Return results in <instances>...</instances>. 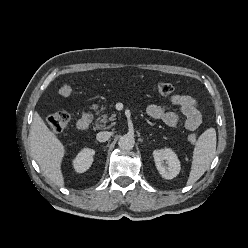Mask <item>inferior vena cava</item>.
<instances>
[{"label":"inferior vena cava","mask_w":248,"mask_h":248,"mask_svg":"<svg viewBox=\"0 0 248 248\" xmlns=\"http://www.w3.org/2000/svg\"><path fill=\"white\" fill-rule=\"evenodd\" d=\"M111 135H112L111 132L102 131V132L97 133L96 139L99 142H106L111 137Z\"/></svg>","instance_id":"obj_1"}]
</instances>
